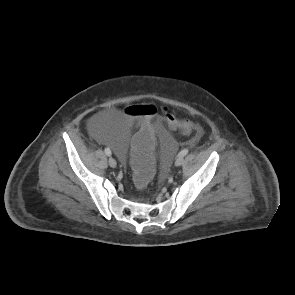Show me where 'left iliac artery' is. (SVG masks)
Instances as JSON below:
<instances>
[{
    "label": "left iliac artery",
    "mask_w": 295,
    "mask_h": 295,
    "mask_svg": "<svg viewBox=\"0 0 295 295\" xmlns=\"http://www.w3.org/2000/svg\"><path fill=\"white\" fill-rule=\"evenodd\" d=\"M189 152L188 149H183L179 154L178 157H184L185 155H187Z\"/></svg>",
    "instance_id": "left-iliac-artery-1"
}]
</instances>
